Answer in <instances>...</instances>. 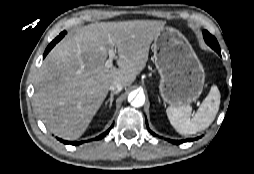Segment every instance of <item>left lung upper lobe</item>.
<instances>
[{"label":"left lung upper lobe","instance_id":"1","mask_svg":"<svg viewBox=\"0 0 254 174\" xmlns=\"http://www.w3.org/2000/svg\"><path fill=\"white\" fill-rule=\"evenodd\" d=\"M203 36L205 39V42L216 52L220 51V46L214 36H212L208 31L204 30L203 31Z\"/></svg>","mask_w":254,"mask_h":174}]
</instances>
